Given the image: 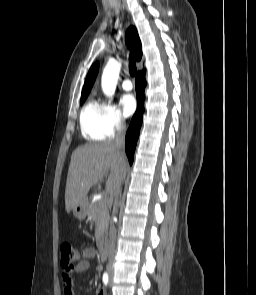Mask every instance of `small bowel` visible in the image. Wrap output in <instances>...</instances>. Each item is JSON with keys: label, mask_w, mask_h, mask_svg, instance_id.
Here are the masks:
<instances>
[{"label": "small bowel", "mask_w": 256, "mask_h": 295, "mask_svg": "<svg viewBox=\"0 0 256 295\" xmlns=\"http://www.w3.org/2000/svg\"><path fill=\"white\" fill-rule=\"evenodd\" d=\"M96 256L95 249L86 247L81 252L80 260L73 270H64L61 273V279L64 287V295H74L72 273H81L90 266V261ZM96 295H106L104 288H98Z\"/></svg>", "instance_id": "1"}]
</instances>
